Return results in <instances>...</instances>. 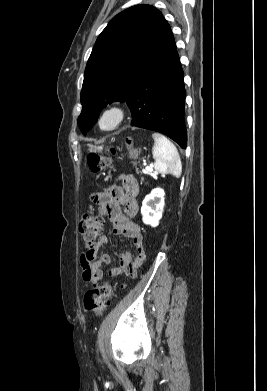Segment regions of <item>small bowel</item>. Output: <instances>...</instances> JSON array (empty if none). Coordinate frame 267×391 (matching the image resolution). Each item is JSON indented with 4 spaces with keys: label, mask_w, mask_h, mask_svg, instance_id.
Returning a JSON list of instances; mask_svg holds the SVG:
<instances>
[{
    "label": "small bowel",
    "mask_w": 267,
    "mask_h": 391,
    "mask_svg": "<svg viewBox=\"0 0 267 391\" xmlns=\"http://www.w3.org/2000/svg\"><path fill=\"white\" fill-rule=\"evenodd\" d=\"M138 193L137 180L132 175L125 174L121 176V186L99 192L92 198L98 205L100 214L112 223L113 233L133 240L137 249L135 255L129 251L117 253L119 264L110 269V277H134L146 258L141 228L132 220L138 213ZM107 244L108 238L100 236L94 246L80 256L83 280L93 287H96L103 277V266L111 262L108 254H98Z\"/></svg>",
    "instance_id": "1"
}]
</instances>
